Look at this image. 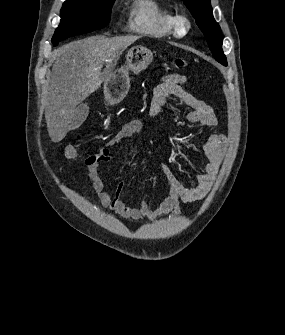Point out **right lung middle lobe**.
<instances>
[{"instance_id":"right-lung-middle-lobe-1","label":"right lung middle lobe","mask_w":285,"mask_h":335,"mask_svg":"<svg viewBox=\"0 0 285 335\" xmlns=\"http://www.w3.org/2000/svg\"><path fill=\"white\" fill-rule=\"evenodd\" d=\"M113 3L106 0H66L61 9V23L52 38L54 46L77 34L105 27Z\"/></svg>"}]
</instances>
